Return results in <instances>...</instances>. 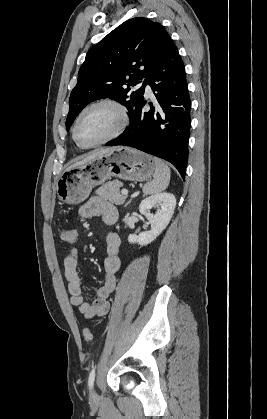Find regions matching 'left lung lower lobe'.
Returning a JSON list of instances; mask_svg holds the SVG:
<instances>
[{
  "instance_id": "1",
  "label": "left lung lower lobe",
  "mask_w": 267,
  "mask_h": 419,
  "mask_svg": "<svg viewBox=\"0 0 267 419\" xmlns=\"http://www.w3.org/2000/svg\"><path fill=\"white\" fill-rule=\"evenodd\" d=\"M157 104L149 110L144 98L129 116L130 125L108 146L137 148L172 163L183 179L188 162L191 100L184 63L171 40L160 62L145 80ZM152 105V103H150Z\"/></svg>"
}]
</instances>
